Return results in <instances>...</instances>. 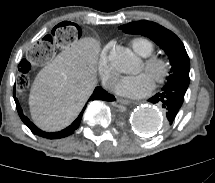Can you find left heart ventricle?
Instances as JSON below:
<instances>
[{
  "label": "left heart ventricle",
  "instance_id": "obj_1",
  "mask_svg": "<svg viewBox=\"0 0 215 183\" xmlns=\"http://www.w3.org/2000/svg\"><path fill=\"white\" fill-rule=\"evenodd\" d=\"M141 70H143V65L141 66ZM147 73V72H146ZM149 76H150V78L152 79V75L151 74H149V73H147Z\"/></svg>",
  "mask_w": 215,
  "mask_h": 183
}]
</instances>
